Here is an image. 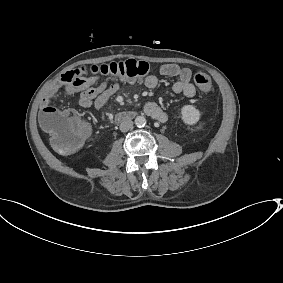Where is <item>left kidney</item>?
Listing matches in <instances>:
<instances>
[{
	"mask_svg": "<svg viewBox=\"0 0 283 283\" xmlns=\"http://www.w3.org/2000/svg\"><path fill=\"white\" fill-rule=\"evenodd\" d=\"M182 120L188 125L196 124L200 118V112L192 105H185L181 109Z\"/></svg>",
	"mask_w": 283,
	"mask_h": 283,
	"instance_id": "obj_1",
	"label": "left kidney"
}]
</instances>
